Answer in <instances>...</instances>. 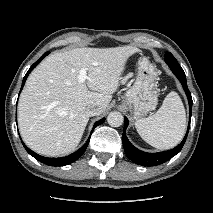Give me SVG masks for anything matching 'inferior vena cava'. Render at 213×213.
<instances>
[{"mask_svg": "<svg viewBox=\"0 0 213 213\" xmlns=\"http://www.w3.org/2000/svg\"><path fill=\"white\" fill-rule=\"evenodd\" d=\"M102 112H103L102 108L94 103L89 104L86 108V113L89 116H96V115L101 114Z\"/></svg>", "mask_w": 213, "mask_h": 213, "instance_id": "602c4592", "label": "inferior vena cava"}]
</instances>
